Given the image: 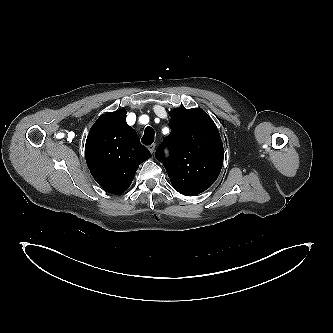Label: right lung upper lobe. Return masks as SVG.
<instances>
[{"label":"right lung upper lobe","mask_w":333,"mask_h":333,"mask_svg":"<svg viewBox=\"0 0 333 333\" xmlns=\"http://www.w3.org/2000/svg\"><path fill=\"white\" fill-rule=\"evenodd\" d=\"M150 157L136 131L126 123L125 109L101 115L87 136L88 168L96 182L109 193L125 192L139 165Z\"/></svg>","instance_id":"1"}]
</instances>
